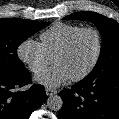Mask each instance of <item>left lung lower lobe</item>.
<instances>
[{
  "label": "left lung lower lobe",
  "instance_id": "0a47b994",
  "mask_svg": "<svg viewBox=\"0 0 119 119\" xmlns=\"http://www.w3.org/2000/svg\"><path fill=\"white\" fill-rule=\"evenodd\" d=\"M59 95V119H119V74L85 77Z\"/></svg>",
  "mask_w": 119,
  "mask_h": 119
}]
</instances>
